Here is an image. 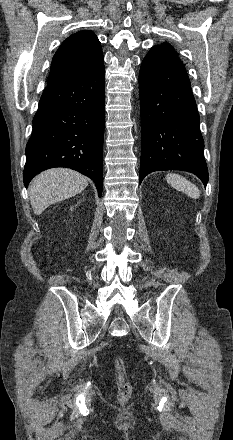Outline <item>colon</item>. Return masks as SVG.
Returning <instances> with one entry per match:
<instances>
[{
	"label": "colon",
	"instance_id": "1",
	"mask_svg": "<svg viewBox=\"0 0 233 440\" xmlns=\"http://www.w3.org/2000/svg\"><path fill=\"white\" fill-rule=\"evenodd\" d=\"M115 378L118 387L117 398L119 402L125 403L130 398L132 386L128 379L125 362L122 358L115 361Z\"/></svg>",
	"mask_w": 233,
	"mask_h": 440
}]
</instances>
